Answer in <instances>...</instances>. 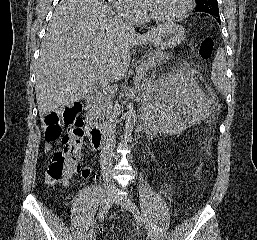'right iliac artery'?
<instances>
[{
  "label": "right iliac artery",
  "instance_id": "1",
  "mask_svg": "<svg viewBox=\"0 0 257 240\" xmlns=\"http://www.w3.org/2000/svg\"><path fill=\"white\" fill-rule=\"evenodd\" d=\"M112 204H113V200L111 199L110 202L107 204V206H106L102 211H100V212L98 213L97 219L103 218L104 215L108 212V210H109L110 207L112 206ZM97 219H96V220H97ZM96 220H95V222H96Z\"/></svg>",
  "mask_w": 257,
  "mask_h": 240
}]
</instances>
